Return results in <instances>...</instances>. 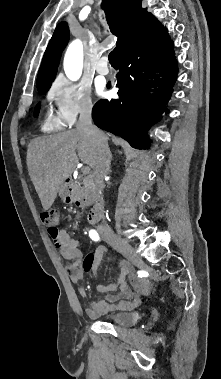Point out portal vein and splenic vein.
I'll use <instances>...</instances> for the list:
<instances>
[{"label":"portal vein and splenic vein","mask_w":221,"mask_h":379,"mask_svg":"<svg viewBox=\"0 0 221 379\" xmlns=\"http://www.w3.org/2000/svg\"><path fill=\"white\" fill-rule=\"evenodd\" d=\"M89 172H90V168L87 166V167H84V168H82V173L83 174H89Z\"/></svg>","instance_id":"18ae733b"}]
</instances>
